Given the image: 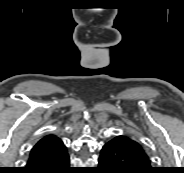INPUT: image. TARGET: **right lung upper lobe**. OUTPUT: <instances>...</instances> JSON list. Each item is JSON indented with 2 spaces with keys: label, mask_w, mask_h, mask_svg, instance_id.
Wrapping results in <instances>:
<instances>
[{
  "label": "right lung upper lobe",
  "mask_w": 184,
  "mask_h": 173,
  "mask_svg": "<svg viewBox=\"0 0 184 173\" xmlns=\"http://www.w3.org/2000/svg\"><path fill=\"white\" fill-rule=\"evenodd\" d=\"M64 143L55 135H47L37 142L30 153V157L47 155L62 148Z\"/></svg>",
  "instance_id": "1"
}]
</instances>
